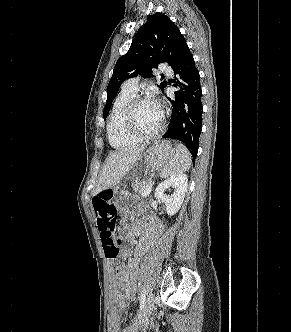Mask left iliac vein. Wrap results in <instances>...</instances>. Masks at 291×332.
I'll return each instance as SVG.
<instances>
[{
	"instance_id": "obj_1",
	"label": "left iliac vein",
	"mask_w": 291,
	"mask_h": 332,
	"mask_svg": "<svg viewBox=\"0 0 291 332\" xmlns=\"http://www.w3.org/2000/svg\"><path fill=\"white\" fill-rule=\"evenodd\" d=\"M154 305L155 297L153 293H150L146 299L143 313L140 315L138 320H136L131 326L125 329L124 332H136L139 327L145 324L154 309Z\"/></svg>"
}]
</instances>
